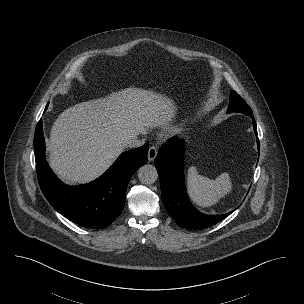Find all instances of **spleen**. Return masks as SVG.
Returning a JSON list of instances; mask_svg holds the SVG:
<instances>
[{
	"instance_id": "3e777b00",
	"label": "spleen",
	"mask_w": 304,
	"mask_h": 304,
	"mask_svg": "<svg viewBox=\"0 0 304 304\" xmlns=\"http://www.w3.org/2000/svg\"><path fill=\"white\" fill-rule=\"evenodd\" d=\"M232 190L228 173L220 174L215 180L198 174L196 167H190L187 173V191L193 203L200 207L216 204Z\"/></svg>"
}]
</instances>
